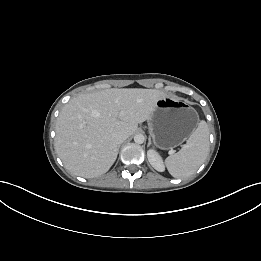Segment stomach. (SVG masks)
I'll return each instance as SVG.
<instances>
[{
	"label": "stomach",
	"instance_id": "obj_1",
	"mask_svg": "<svg viewBox=\"0 0 261 261\" xmlns=\"http://www.w3.org/2000/svg\"><path fill=\"white\" fill-rule=\"evenodd\" d=\"M199 125L197 111L172 97L157 101L148 119L149 134L154 144L162 149H170L183 143Z\"/></svg>",
	"mask_w": 261,
	"mask_h": 261
}]
</instances>
